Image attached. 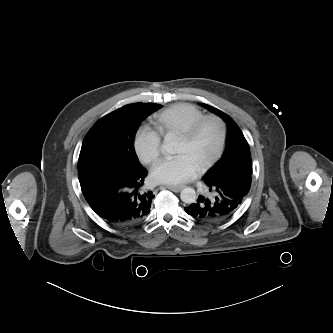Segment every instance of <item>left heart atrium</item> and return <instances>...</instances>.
Returning <instances> with one entry per match:
<instances>
[{
	"label": "left heart atrium",
	"mask_w": 333,
	"mask_h": 333,
	"mask_svg": "<svg viewBox=\"0 0 333 333\" xmlns=\"http://www.w3.org/2000/svg\"><path fill=\"white\" fill-rule=\"evenodd\" d=\"M198 173L197 166L185 154H177L162 159L152 169L154 182L166 185H178L191 180Z\"/></svg>",
	"instance_id": "obj_1"
}]
</instances>
